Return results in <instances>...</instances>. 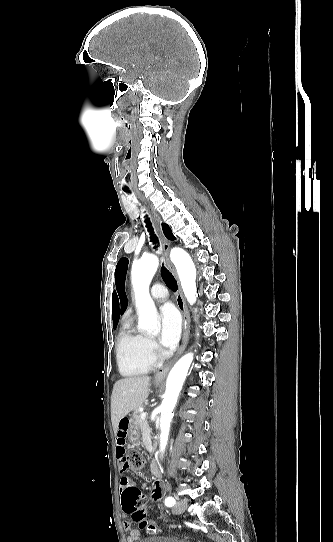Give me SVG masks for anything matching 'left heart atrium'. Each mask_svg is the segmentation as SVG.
Returning a JSON list of instances; mask_svg holds the SVG:
<instances>
[{"mask_svg": "<svg viewBox=\"0 0 333 542\" xmlns=\"http://www.w3.org/2000/svg\"><path fill=\"white\" fill-rule=\"evenodd\" d=\"M161 320L160 346L165 352H172L177 345L181 332L179 313L173 305H164L161 309Z\"/></svg>", "mask_w": 333, "mask_h": 542, "instance_id": "left-heart-atrium-1", "label": "left heart atrium"}]
</instances>
